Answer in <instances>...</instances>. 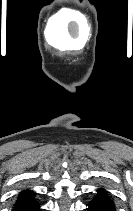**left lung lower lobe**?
<instances>
[{
	"label": "left lung lower lobe",
	"mask_w": 133,
	"mask_h": 211,
	"mask_svg": "<svg viewBox=\"0 0 133 211\" xmlns=\"http://www.w3.org/2000/svg\"><path fill=\"white\" fill-rule=\"evenodd\" d=\"M87 206L88 211H116L114 201L104 188L97 190Z\"/></svg>",
	"instance_id": "obj_1"
}]
</instances>
